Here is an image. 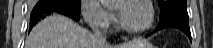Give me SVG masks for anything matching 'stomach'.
<instances>
[{"label": "stomach", "instance_id": "0dacf381", "mask_svg": "<svg viewBox=\"0 0 213 48\" xmlns=\"http://www.w3.org/2000/svg\"><path fill=\"white\" fill-rule=\"evenodd\" d=\"M136 48H156V47H154L151 44H148V45H143V46H139V47H136Z\"/></svg>", "mask_w": 213, "mask_h": 48}]
</instances>
